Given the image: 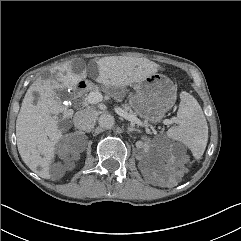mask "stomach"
Wrapping results in <instances>:
<instances>
[{"mask_svg":"<svg viewBox=\"0 0 241 241\" xmlns=\"http://www.w3.org/2000/svg\"><path fill=\"white\" fill-rule=\"evenodd\" d=\"M112 95L118 96L117 87H108ZM177 90L174 83L163 74H153L134 85L129 95V105L135 113L151 124L159 123L174 106Z\"/></svg>","mask_w":241,"mask_h":241,"instance_id":"0dacf381","label":"stomach"}]
</instances>
